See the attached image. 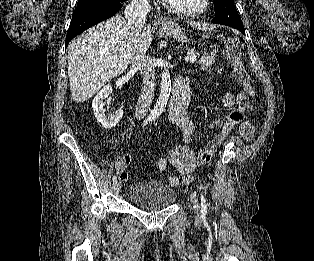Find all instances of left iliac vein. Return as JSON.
I'll list each match as a JSON object with an SVG mask.
<instances>
[{
  "label": "left iliac vein",
  "mask_w": 314,
  "mask_h": 261,
  "mask_svg": "<svg viewBox=\"0 0 314 261\" xmlns=\"http://www.w3.org/2000/svg\"><path fill=\"white\" fill-rule=\"evenodd\" d=\"M190 200L193 204V210L196 213V215L199 217L201 213L200 203L198 200L197 195L194 192L190 193Z\"/></svg>",
  "instance_id": "1"
}]
</instances>
